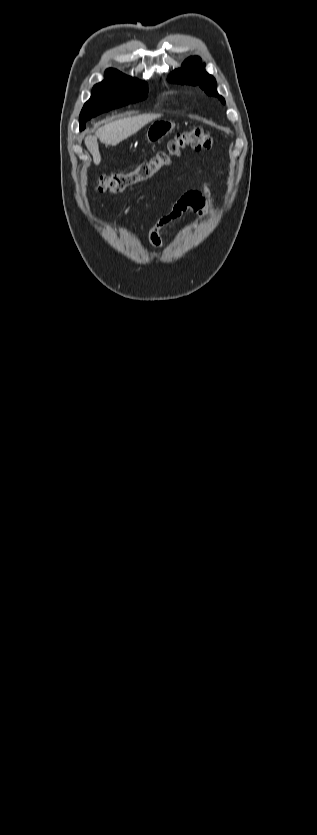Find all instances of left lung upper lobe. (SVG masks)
Here are the masks:
<instances>
[{
	"mask_svg": "<svg viewBox=\"0 0 317 835\" xmlns=\"http://www.w3.org/2000/svg\"><path fill=\"white\" fill-rule=\"evenodd\" d=\"M204 66L199 57H190L185 60L183 67L174 70L168 79L180 84L199 85L208 95L217 96L225 104L224 98L217 93L215 78L205 71Z\"/></svg>",
	"mask_w": 317,
	"mask_h": 835,
	"instance_id": "5c2ea615",
	"label": "left lung upper lobe"
}]
</instances>
